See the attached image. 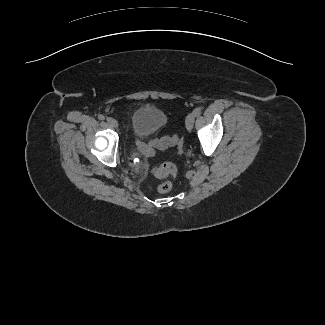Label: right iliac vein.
<instances>
[{"label": "right iliac vein", "mask_w": 325, "mask_h": 325, "mask_svg": "<svg viewBox=\"0 0 325 325\" xmlns=\"http://www.w3.org/2000/svg\"><path fill=\"white\" fill-rule=\"evenodd\" d=\"M106 121L107 123L113 127V128H117L118 127V122L114 119V118H111V117H107L106 118Z\"/></svg>", "instance_id": "63e3f726"}]
</instances>
